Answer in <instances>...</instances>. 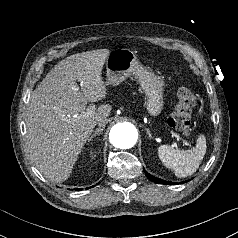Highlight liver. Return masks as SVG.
Masks as SVG:
<instances>
[{
    "label": "liver",
    "mask_w": 238,
    "mask_h": 238,
    "mask_svg": "<svg viewBox=\"0 0 238 238\" xmlns=\"http://www.w3.org/2000/svg\"><path fill=\"white\" fill-rule=\"evenodd\" d=\"M109 53L99 49L68 56L31 95L26 144L34 165L52 182L69 178L95 125L111 112L110 105L99 106L92 115L85 111L88 101L97 102L107 95L102 68ZM73 115L77 117H69Z\"/></svg>",
    "instance_id": "obj_1"
}]
</instances>
